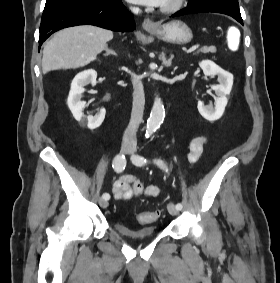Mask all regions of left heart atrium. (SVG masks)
Masks as SVG:
<instances>
[{"mask_svg":"<svg viewBox=\"0 0 280 283\" xmlns=\"http://www.w3.org/2000/svg\"><path fill=\"white\" fill-rule=\"evenodd\" d=\"M127 1L141 5L162 6L166 0H127Z\"/></svg>","mask_w":280,"mask_h":283,"instance_id":"39dd6f15","label":"left heart atrium"}]
</instances>
